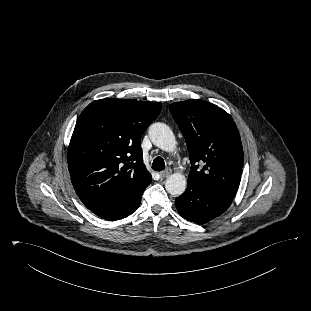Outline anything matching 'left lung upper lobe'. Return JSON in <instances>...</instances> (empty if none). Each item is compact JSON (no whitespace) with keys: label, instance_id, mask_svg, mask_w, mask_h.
Instances as JSON below:
<instances>
[{"label":"left lung upper lobe","instance_id":"1","mask_svg":"<svg viewBox=\"0 0 311 311\" xmlns=\"http://www.w3.org/2000/svg\"><path fill=\"white\" fill-rule=\"evenodd\" d=\"M169 109L190 154L188 179L234 199L241 180L243 150L232 117L218 106L196 99L173 103Z\"/></svg>","mask_w":311,"mask_h":311}]
</instances>
